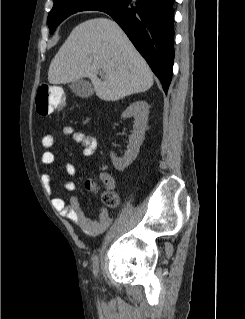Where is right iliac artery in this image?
Segmentation results:
<instances>
[{"label":"right iliac artery","mask_w":245,"mask_h":319,"mask_svg":"<svg viewBox=\"0 0 245 319\" xmlns=\"http://www.w3.org/2000/svg\"><path fill=\"white\" fill-rule=\"evenodd\" d=\"M93 267H94V272L97 274L98 273V257L97 256L94 258Z\"/></svg>","instance_id":"right-iliac-artery-1"}]
</instances>
